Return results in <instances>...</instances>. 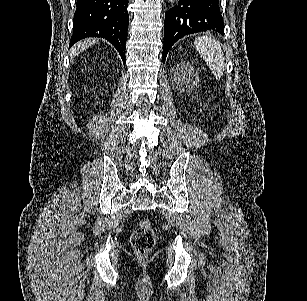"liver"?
<instances>
[{
  "mask_svg": "<svg viewBox=\"0 0 307 301\" xmlns=\"http://www.w3.org/2000/svg\"><path fill=\"white\" fill-rule=\"evenodd\" d=\"M99 38H85V40H80V42H76L72 48H70V54L71 56H77V54H80V52H83V50H86V48H89V46H92V44H95Z\"/></svg>",
  "mask_w": 307,
  "mask_h": 301,
  "instance_id": "1",
  "label": "liver"
}]
</instances>
